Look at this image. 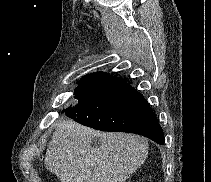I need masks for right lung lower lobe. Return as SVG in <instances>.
Wrapping results in <instances>:
<instances>
[{
	"label": "right lung lower lobe",
	"instance_id": "1",
	"mask_svg": "<svg viewBox=\"0 0 211 182\" xmlns=\"http://www.w3.org/2000/svg\"><path fill=\"white\" fill-rule=\"evenodd\" d=\"M78 85V104L63 111L68 117L97 130L136 133L164 144L153 110L123 78L99 72L83 77Z\"/></svg>",
	"mask_w": 211,
	"mask_h": 182
}]
</instances>
